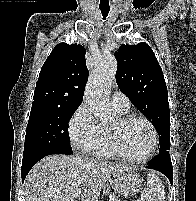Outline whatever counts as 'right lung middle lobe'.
I'll use <instances>...</instances> for the list:
<instances>
[{
  "instance_id": "right-lung-middle-lobe-1",
  "label": "right lung middle lobe",
  "mask_w": 196,
  "mask_h": 201,
  "mask_svg": "<svg viewBox=\"0 0 196 201\" xmlns=\"http://www.w3.org/2000/svg\"><path fill=\"white\" fill-rule=\"evenodd\" d=\"M78 107L32 104L23 155L40 148L72 152L67 126Z\"/></svg>"
}]
</instances>
